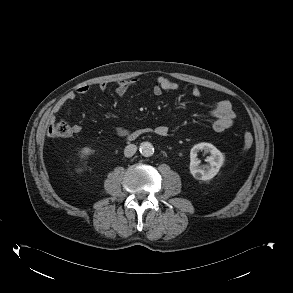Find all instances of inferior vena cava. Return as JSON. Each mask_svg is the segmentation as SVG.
Here are the masks:
<instances>
[{
    "label": "inferior vena cava",
    "mask_w": 293,
    "mask_h": 293,
    "mask_svg": "<svg viewBox=\"0 0 293 293\" xmlns=\"http://www.w3.org/2000/svg\"><path fill=\"white\" fill-rule=\"evenodd\" d=\"M137 151V146L135 144H129L124 149V155L126 157H132Z\"/></svg>",
    "instance_id": "602c4592"
}]
</instances>
